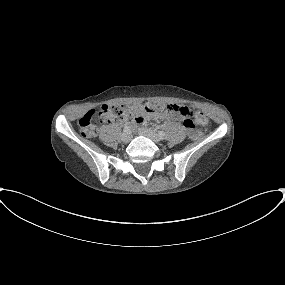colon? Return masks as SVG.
<instances>
[{
  "instance_id": "5ec220e1",
  "label": "colon",
  "mask_w": 285,
  "mask_h": 285,
  "mask_svg": "<svg viewBox=\"0 0 285 285\" xmlns=\"http://www.w3.org/2000/svg\"><path fill=\"white\" fill-rule=\"evenodd\" d=\"M162 108V104H138L133 107H126L117 104H104L97 108L88 110L79 119L80 133L85 138L93 137L97 132L96 122L110 123L127 121L142 117L146 114L158 113ZM172 109L181 110L185 114L186 119L184 121V125L188 134L193 138H196L199 135L196 126L206 125L208 123L204 114L194 112L188 107H175Z\"/></svg>"
}]
</instances>
